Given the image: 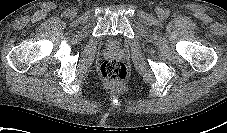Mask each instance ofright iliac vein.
Returning <instances> with one entry per match:
<instances>
[{"instance_id": "right-iliac-vein-1", "label": "right iliac vein", "mask_w": 227, "mask_h": 133, "mask_svg": "<svg viewBox=\"0 0 227 133\" xmlns=\"http://www.w3.org/2000/svg\"><path fill=\"white\" fill-rule=\"evenodd\" d=\"M69 15H70L71 17L75 16V11L71 10L70 13H69Z\"/></svg>"}]
</instances>
